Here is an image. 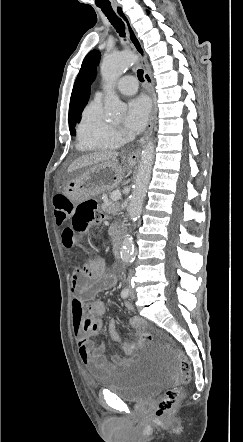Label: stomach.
Here are the masks:
<instances>
[{"instance_id":"obj_1","label":"stomach","mask_w":243,"mask_h":442,"mask_svg":"<svg viewBox=\"0 0 243 442\" xmlns=\"http://www.w3.org/2000/svg\"><path fill=\"white\" fill-rule=\"evenodd\" d=\"M133 166L130 160L123 165L117 161L96 164L78 177L71 179L65 187V194L73 201H84L111 191L122 181L126 168Z\"/></svg>"}]
</instances>
